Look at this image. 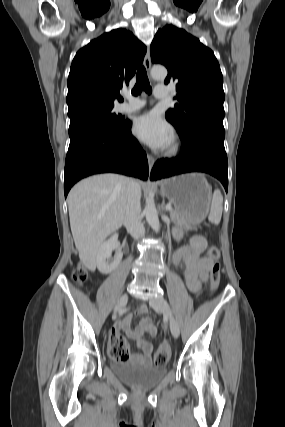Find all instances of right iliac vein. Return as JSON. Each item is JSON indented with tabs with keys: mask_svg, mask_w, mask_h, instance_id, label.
Here are the masks:
<instances>
[{
	"mask_svg": "<svg viewBox=\"0 0 285 427\" xmlns=\"http://www.w3.org/2000/svg\"><path fill=\"white\" fill-rule=\"evenodd\" d=\"M127 301H128V295L127 294H123L119 298V300H118V302H117V304L115 306L114 313H113L114 316H116L117 313L120 312L124 308V306L126 305Z\"/></svg>",
	"mask_w": 285,
	"mask_h": 427,
	"instance_id": "1",
	"label": "right iliac vein"
}]
</instances>
